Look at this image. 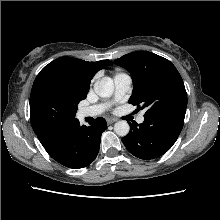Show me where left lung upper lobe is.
Returning <instances> with one entry per match:
<instances>
[{
  "label": "left lung upper lobe",
  "mask_w": 220,
  "mask_h": 220,
  "mask_svg": "<svg viewBox=\"0 0 220 220\" xmlns=\"http://www.w3.org/2000/svg\"><path fill=\"white\" fill-rule=\"evenodd\" d=\"M133 79L129 103L145 109V115L169 110H186L187 93L175 66L167 59L148 51L129 53L116 59Z\"/></svg>",
  "instance_id": "left-lung-upper-lobe-1"
}]
</instances>
